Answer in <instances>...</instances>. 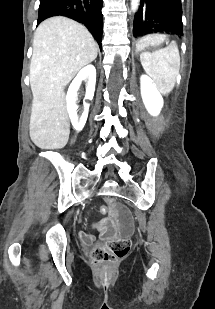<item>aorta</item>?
Listing matches in <instances>:
<instances>
[{
    "instance_id": "obj_1",
    "label": "aorta",
    "mask_w": 215,
    "mask_h": 309,
    "mask_svg": "<svg viewBox=\"0 0 215 309\" xmlns=\"http://www.w3.org/2000/svg\"><path fill=\"white\" fill-rule=\"evenodd\" d=\"M140 0H131V10L132 12H136L138 6H139Z\"/></svg>"
}]
</instances>
